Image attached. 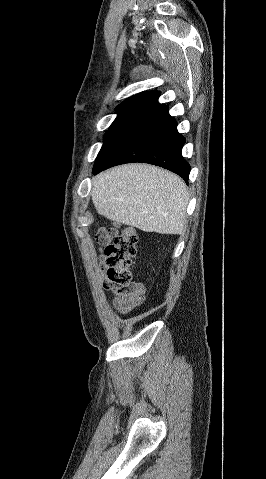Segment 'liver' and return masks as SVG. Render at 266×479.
Segmentation results:
<instances>
[{"instance_id": "6515ba94", "label": "liver", "mask_w": 266, "mask_h": 479, "mask_svg": "<svg viewBox=\"0 0 266 479\" xmlns=\"http://www.w3.org/2000/svg\"><path fill=\"white\" fill-rule=\"evenodd\" d=\"M92 201L111 221L144 232L182 234L189 196L176 174L147 164L111 168L92 181Z\"/></svg>"}]
</instances>
